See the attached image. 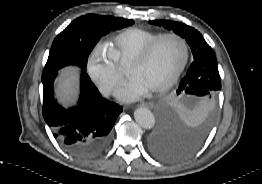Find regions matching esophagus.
<instances>
[{"label":"esophagus","instance_id":"obj_1","mask_svg":"<svg viewBox=\"0 0 262 184\" xmlns=\"http://www.w3.org/2000/svg\"><path fill=\"white\" fill-rule=\"evenodd\" d=\"M140 106L147 107V108H153L154 107V103L151 102V101H146V102L140 103Z\"/></svg>","mask_w":262,"mask_h":184}]
</instances>
